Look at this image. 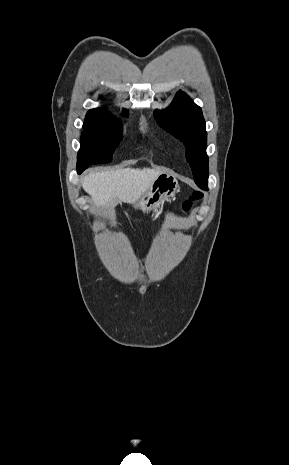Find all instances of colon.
Listing matches in <instances>:
<instances>
[{"label":"colon","instance_id":"1","mask_svg":"<svg viewBox=\"0 0 289 465\" xmlns=\"http://www.w3.org/2000/svg\"><path fill=\"white\" fill-rule=\"evenodd\" d=\"M203 196V193L201 191H195L193 192L188 199H186L183 202V210L184 211H189L193 205V203L199 199H201Z\"/></svg>","mask_w":289,"mask_h":465}]
</instances>
